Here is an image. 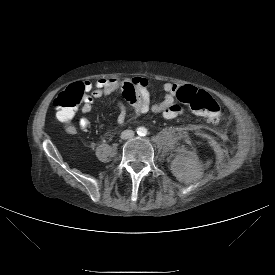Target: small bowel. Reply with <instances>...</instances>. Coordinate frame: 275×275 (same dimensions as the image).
<instances>
[{
  "mask_svg": "<svg viewBox=\"0 0 275 275\" xmlns=\"http://www.w3.org/2000/svg\"><path fill=\"white\" fill-rule=\"evenodd\" d=\"M78 86L84 92L82 112L88 113L92 109L93 103L102 97L108 96L118 90H122V97L125 102L132 104L134 114L137 116L148 112L160 113L165 118L171 119L182 114V108L176 102V95L180 85L174 82H166L162 86L164 93L163 99L151 103L149 83L143 77H134L132 79L119 78H99L94 80H85L78 83ZM118 108L117 125H123L127 118V107L122 100L116 101ZM58 117V115H57ZM61 124V133L69 138L78 134V125L71 120H63L58 117ZM79 126L86 129L89 126V120L85 117L80 119Z\"/></svg>",
  "mask_w": 275,
  "mask_h": 275,
  "instance_id": "small-bowel-1",
  "label": "small bowel"
}]
</instances>
